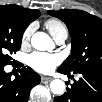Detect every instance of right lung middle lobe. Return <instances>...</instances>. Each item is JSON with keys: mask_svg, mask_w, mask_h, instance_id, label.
<instances>
[{"mask_svg": "<svg viewBox=\"0 0 102 102\" xmlns=\"http://www.w3.org/2000/svg\"><path fill=\"white\" fill-rule=\"evenodd\" d=\"M29 22L0 6V66L12 64L10 54L20 49Z\"/></svg>", "mask_w": 102, "mask_h": 102, "instance_id": "right-lung-middle-lobe-1", "label": "right lung middle lobe"}]
</instances>
